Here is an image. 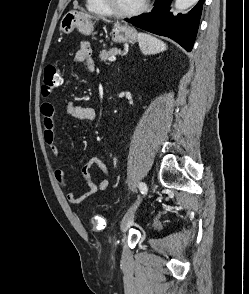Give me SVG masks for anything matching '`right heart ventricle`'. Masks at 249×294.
<instances>
[{"instance_id": "1", "label": "right heart ventricle", "mask_w": 249, "mask_h": 294, "mask_svg": "<svg viewBox=\"0 0 249 294\" xmlns=\"http://www.w3.org/2000/svg\"><path fill=\"white\" fill-rule=\"evenodd\" d=\"M86 7L89 12L101 16L109 15L101 0H86Z\"/></svg>"}]
</instances>
